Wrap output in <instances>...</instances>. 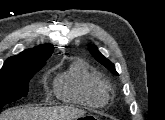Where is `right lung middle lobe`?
Returning <instances> with one entry per match:
<instances>
[{"instance_id":"dd1d6c3e","label":"right lung middle lobe","mask_w":165,"mask_h":120,"mask_svg":"<svg viewBox=\"0 0 165 120\" xmlns=\"http://www.w3.org/2000/svg\"><path fill=\"white\" fill-rule=\"evenodd\" d=\"M45 62H30L14 65H3L0 70V112L8 103L28 94V83Z\"/></svg>"}]
</instances>
